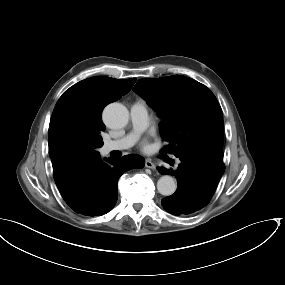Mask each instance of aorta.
Segmentation results:
<instances>
[{"label":"aorta","mask_w":285,"mask_h":285,"mask_svg":"<svg viewBox=\"0 0 285 285\" xmlns=\"http://www.w3.org/2000/svg\"><path fill=\"white\" fill-rule=\"evenodd\" d=\"M129 113L127 108L120 103L109 104L104 112L103 118L110 128H122L128 122ZM177 188L175 180L169 176H162L157 182V190L164 196L172 195Z\"/></svg>","instance_id":"1"}]
</instances>
